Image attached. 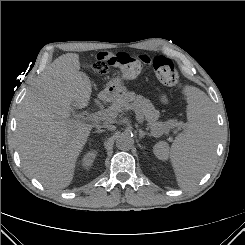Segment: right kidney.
Segmentation results:
<instances>
[{"label":"right kidney","mask_w":245,"mask_h":245,"mask_svg":"<svg viewBox=\"0 0 245 245\" xmlns=\"http://www.w3.org/2000/svg\"><path fill=\"white\" fill-rule=\"evenodd\" d=\"M97 155L96 151H89L88 153H86L83 158H82V165L84 167H90L92 165V163L94 162V159Z\"/></svg>","instance_id":"right-kidney-1"}]
</instances>
